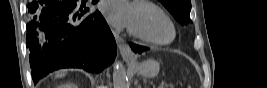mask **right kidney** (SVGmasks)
<instances>
[{
  "mask_svg": "<svg viewBox=\"0 0 267 88\" xmlns=\"http://www.w3.org/2000/svg\"><path fill=\"white\" fill-rule=\"evenodd\" d=\"M59 88H78V87L73 83H64L60 85Z\"/></svg>",
  "mask_w": 267,
  "mask_h": 88,
  "instance_id": "right-kidney-1",
  "label": "right kidney"
}]
</instances>
